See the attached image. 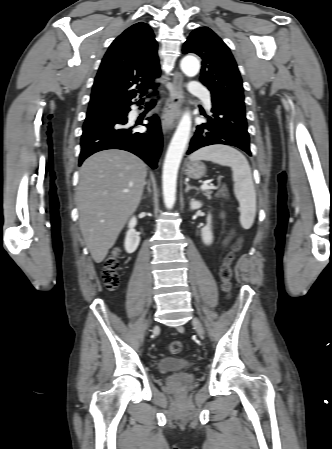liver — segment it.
<instances>
[{
	"mask_svg": "<svg viewBox=\"0 0 332 449\" xmlns=\"http://www.w3.org/2000/svg\"><path fill=\"white\" fill-rule=\"evenodd\" d=\"M146 174L145 163L122 150L100 151L82 164L76 202L81 233L96 263L105 259L136 211Z\"/></svg>",
	"mask_w": 332,
	"mask_h": 449,
	"instance_id": "liver-1",
	"label": "liver"
}]
</instances>
